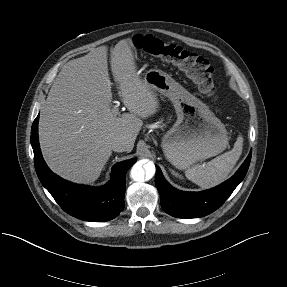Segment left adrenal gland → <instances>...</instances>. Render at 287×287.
<instances>
[{
	"mask_svg": "<svg viewBox=\"0 0 287 287\" xmlns=\"http://www.w3.org/2000/svg\"><path fill=\"white\" fill-rule=\"evenodd\" d=\"M172 174L175 175L176 177L181 178V176L178 173H176L174 170H172Z\"/></svg>",
	"mask_w": 287,
	"mask_h": 287,
	"instance_id": "a2214340",
	"label": "left adrenal gland"
}]
</instances>
